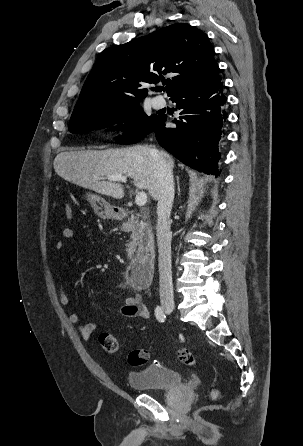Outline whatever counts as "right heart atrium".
Returning <instances> with one entry per match:
<instances>
[{
	"mask_svg": "<svg viewBox=\"0 0 303 446\" xmlns=\"http://www.w3.org/2000/svg\"><path fill=\"white\" fill-rule=\"evenodd\" d=\"M135 118L131 114H122L114 120L113 130L118 136L129 135L134 128Z\"/></svg>",
	"mask_w": 303,
	"mask_h": 446,
	"instance_id": "right-heart-atrium-1",
	"label": "right heart atrium"
}]
</instances>
